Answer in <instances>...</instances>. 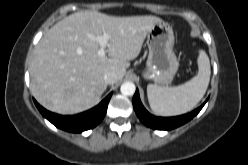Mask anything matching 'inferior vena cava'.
<instances>
[{
  "label": "inferior vena cava",
  "instance_id": "602c4592",
  "mask_svg": "<svg viewBox=\"0 0 248 165\" xmlns=\"http://www.w3.org/2000/svg\"><path fill=\"white\" fill-rule=\"evenodd\" d=\"M104 81L106 84H114L117 81V74L115 72H107L104 75Z\"/></svg>",
  "mask_w": 248,
  "mask_h": 165
}]
</instances>
